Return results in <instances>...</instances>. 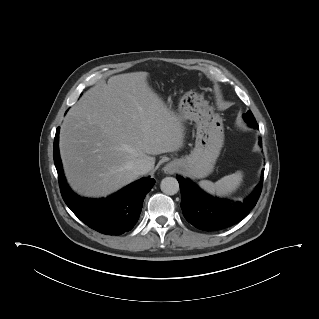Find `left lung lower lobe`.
I'll return each mask as SVG.
<instances>
[{"mask_svg": "<svg viewBox=\"0 0 319 319\" xmlns=\"http://www.w3.org/2000/svg\"><path fill=\"white\" fill-rule=\"evenodd\" d=\"M249 126L259 128L257 124H249ZM259 144H261V139ZM263 173L264 170L261 181L254 192L242 202L214 198L204 193L191 180L177 176L184 217L193 226L205 231L220 230L240 222L257 203L262 190Z\"/></svg>", "mask_w": 319, "mask_h": 319, "instance_id": "left-lung-lower-lobe-1", "label": "left lung lower lobe"}]
</instances>
